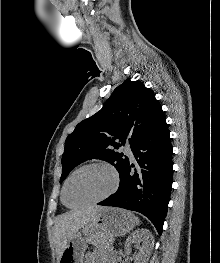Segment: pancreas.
I'll return each instance as SVG.
<instances>
[{
  "label": "pancreas",
  "mask_w": 220,
  "mask_h": 263,
  "mask_svg": "<svg viewBox=\"0 0 220 263\" xmlns=\"http://www.w3.org/2000/svg\"><path fill=\"white\" fill-rule=\"evenodd\" d=\"M96 235H98V233H96L95 236H96ZM88 241L91 242V243H92L93 245H95V246H99V245L97 244L96 240L94 239V236H92ZM99 247H100V246H99Z\"/></svg>",
  "instance_id": "1"
}]
</instances>
